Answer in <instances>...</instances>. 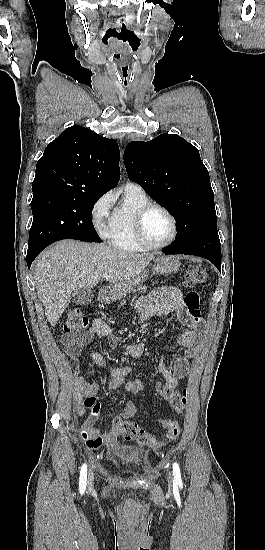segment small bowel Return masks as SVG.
<instances>
[{
    "mask_svg": "<svg viewBox=\"0 0 265 550\" xmlns=\"http://www.w3.org/2000/svg\"><path fill=\"white\" fill-rule=\"evenodd\" d=\"M136 309L140 315L141 324L146 323L154 316L175 312L184 327L182 333L174 342L186 348L185 354L177 357L171 366H168L164 360L158 365V372L164 379V385L159 391V394L163 397L166 391H176L178 381L183 379L190 370V360L199 353L202 346V339L199 336L201 323L200 321H195L185 312L181 292L171 285L157 288L148 295L138 299ZM94 336L105 338L110 345H116L119 342V338L114 334L108 323L103 319H96L92 327L87 331L78 334H67L61 338L66 356L72 361L77 360L81 354L82 347L88 345ZM123 352L132 358H142L145 354V344L143 342L127 344L124 346ZM90 358L95 366L104 368L111 373V379L108 382L110 389L124 387L128 392L133 394H139L144 389V384L140 379L127 380V376L131 371L129 366H113L98 352H91ZM88 369V367H85L76 378L80 386L84 383V373ZM87 389L95 394L98 391V384L95 381H90ZM99 414L100 405L91 417L83 421L79 431L80 438L91 450H97L105 445L112 444L118 435L114 430H108L103 433L95 427ZM135 414L136 408L134 404L127 402L120 412V417L128 419L132 418Z\"/></svg>",
    "mask_w": 265,
    "mask_h": 550,
    "instance_id": "1",
    "label": "small bowel"
}]
</instances>
